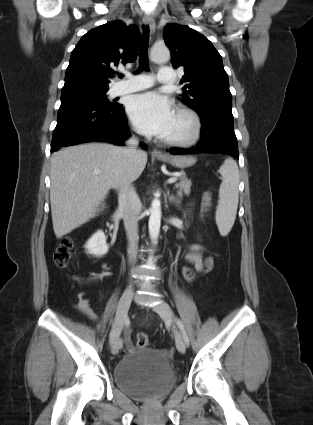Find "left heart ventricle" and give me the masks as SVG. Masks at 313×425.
Returning <instances> with one entry per match:
<instances>
[{
	"mask_svg": "<svg viewBox=\"0 0 313 425\" xmlns=\"http://www.w3.org/2000/svg\"><path fill=\"white\" fill-rule=\"evenodd\" d=\"M190 130L188 120L175 113L172 126L165 138L178 137L186 135Z\"/></svg>",
	"mask_w": 313,
	"mask_h": 425,
	"instance_id": "left-heart-ventricle-1",
	"label": "left heart ventricle"
}]
</instances>
